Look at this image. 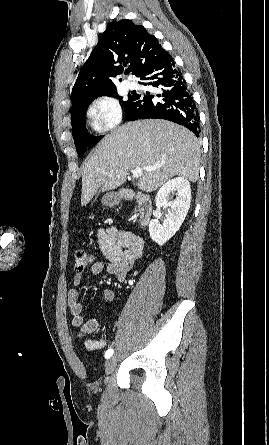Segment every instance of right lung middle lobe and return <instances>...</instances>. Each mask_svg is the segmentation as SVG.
<instances>
[{
    "label": "right lung middle lobe",
    "mask_w": 269,
    "mask_h": 445,
    "mask_svg": "<svg viewBox=\"0 0 269 445\" xmlns=\"http://www.w3.org/2000/svg\"><path fill=\"white\" fill-rule=\"evenodd\" d=\"M99 96H110V97H116L120 100L123 99V97L118 96V93L115 90L112 92H108V93H104V94L95 96L87 101H84V102L72 107V113H71L72 133H73V138H74V143H75V146L77 149V153L79 156H81L85 153L87 147L94 146L102 138V136H92L91 134H89L86 129L85 122H84V116H85V112L87 110L88 105L95 98H97ZM135 97H136L135 94H130V95H128V98L126 100L121 101L124 106V109H125L126 117L129 114V111L134 103Z\"/></svg>",
    "instance_id": "obj_1"
}]
</instances>
